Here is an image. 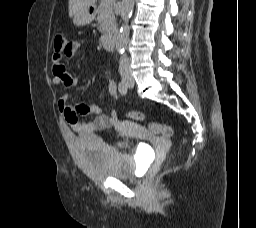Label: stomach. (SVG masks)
<instances>
[{"instance_id":"obj_1","label":"stomach","mask_w":256,"mask_h":228,"mask_svg":"<svg viewBox=\"0 0 256 228\" xmlns=\"http://www.w3.org/2000/svg\"><path fill=\"white\" fill-rule=\"evenodd\" d=\"M95 18V11L93 7H85L74 14L73 23L77 26H84L90 24Z\"/></svg>"}]
</instances>
